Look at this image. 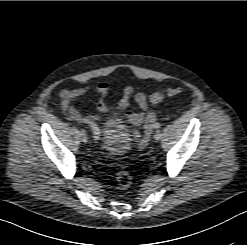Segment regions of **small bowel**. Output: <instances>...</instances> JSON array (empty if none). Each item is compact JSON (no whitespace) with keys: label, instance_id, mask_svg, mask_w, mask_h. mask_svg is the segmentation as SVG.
<instances>
[{"label":"small bowel","instance_id":"c3829d8e","mask_svg":"<svg viewBox=\"0 0 247 245\" xmlns=\"http://www.w3.org/2000/svg\"><path fill=\"white\" fill-rule=\"evenodd\" d=\"M91 86H82L79 88H69L65 87L60 91L61 98V110L64 115L70 121L77 124H86L84 119H89L94 124H100L105 116L111 111V109L105 103V97L107 96L110 87L106 82H100L96 84L93 88L94 94L98 97L97 108L99 111L98 115L84 117L75 108L74 103L85 96L90 90ZM134 95V88L132 85L125 86L123 90V95L118 103L117 110H124L128 107L131 97ZM134 100L139 106V112H125L123 119L125 122L132 125L142 126L144 128V136L139 139L138 133L133 130L130 132L133 142L139 147H144L150 138L154 122L156 121V114L154 111L149 109L148 98L145 93L138 92L134 95Z\"/></svg>","mask_w":247,"mask_h":245}]
</instances>
